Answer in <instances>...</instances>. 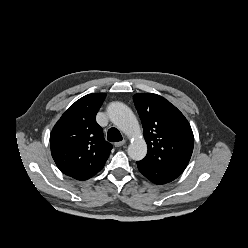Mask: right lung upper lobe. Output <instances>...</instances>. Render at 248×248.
<instances>
[{
	"label": "right lung upper lobe",
	"instance_id": "1",
	"mask_svg": "<svg viewBox=\"0 0 248 248\" xmlns=\"http://www.w3.org/2000/svg\"><path fill=\"white\" fill-rule=\"evenodd\" d=\"M105 96V93H92L77 100L50 134L51 154L57 167L80 181L98 173L112 149L95 120Z\"/></svg>",
	"mask_w": 248,
	"mask_h": 248
}]
</instances>
